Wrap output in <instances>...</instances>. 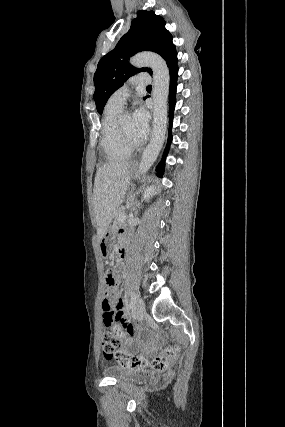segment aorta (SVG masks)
Segmentation results:
<instances>
[{
	"label": "aorta",
	"instance_id": "obj_1",
	"mask_svg": "<svg viewBox=\"0 0 285 427\" xmlns=\"http://www.w3.org/2000/svg\"><path fill=\"white\" fill-rule=\"evenodd\" d=\"M130 63L134 67L148 66L153 72V131L139 164V172L144 174L157 159L165 141L170 75L164 59L155 53H138L130 59Z\"/></svg>",
	"mask_w": 285,
	"mask_h": 427
}]
</instances>
